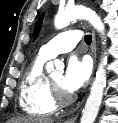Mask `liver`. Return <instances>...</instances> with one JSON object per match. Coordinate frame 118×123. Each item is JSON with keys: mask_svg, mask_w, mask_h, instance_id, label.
<instances>
[{"mask_svg": "<svg viewBox=\"0 0 118 123\" xmlns=\"http://www.w3.org/2000/svg\"><path fill=\"white\" fill-rule=\"evenodd\" d=\"M7 123H54V120L45 117L27 116L11 119Z\"/></svg>", "mask_w": 118, "mask_h": 123, "instance_id": "6515ba94", "label": "liver"}]
</instances>
